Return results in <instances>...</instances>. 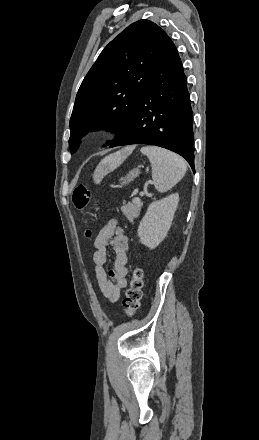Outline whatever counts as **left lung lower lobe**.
Masks as SVG:
<instances>
[{
  "mask_svg": "<svg viewBox=\"0 0 259 440\" xmlns=\"http://www.w3.org/2000/svg\"><path fill=\"white\" fill-rule=\"evenodd\" d=\"M129 144L156 145L174 151L194 171L190 96L180 57L170 38L132 117L110 147Z\"/></svg>",
  "mask_w": 259,
  "mask_h": 440,
  "instance_id": "obj_1",
  "label": "left lung lower lobe"
}]
</instances>
